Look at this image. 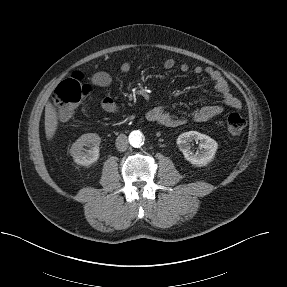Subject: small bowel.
I'll list each match as a JSON object with an SVG mask.
<instances>
[{"label":"small bowel","instance_id":"c3829d8e","mask_svg":"<svg viewBox=\"0 0 287 287\" xmlns=\"http://www.w3.org/2000/svg\"><path fill=\"white\" fill-rule=\"evenodd\" d=\"M175 66L176 62L173 58H166L163 62V67L167 70H171ZM178 68L183 73L191 70L187 63L179 64ZM130 70L131 64L129 62H123L120 65V71L122 73H128ZM192 71L197 75H206L214 84L215 90L221 95V103L207 104L197 110H194L190 115L194 121H208L220 115L224 111L225 107L234 110L241 108V101L231 92L226 79L218 70L213 69L212 67L195 66L193 67ZM91 82L97 87L105 88L111 84L112 78L110 74L105 71H97L92 74ZM101 108L105 112L112 114L118 111V106L111 97L103 98L101 101ZM146 119L166 127H175L186 122V117L171 114L161 104L154 106L146 114Z\"/></svg>","mask_w":287,"mask_h":287}]
</instances>
